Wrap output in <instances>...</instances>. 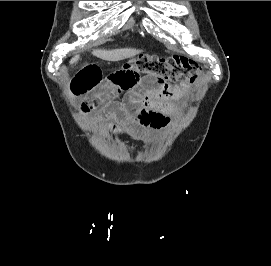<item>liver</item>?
<instances>
[{
  "mask_svg": "<svg viewBox=\"0 0 271 266\" xmlns=\"http://www.w3.org/2000/svg\"><path fill=\"white\" fill-rule=\"evenodd\" d=\"M141 50L136 49H116V50H94L93 55L106 61H120L126 58H131L139 53ZM79 56H75L71 59L70 63L73 64L77 62Z\"/></svg>",
  "mask_w": 271,
  "mask_h": 266,
  "instance_id": "liver-1",
  "label": "liver"
}]
</instances>
